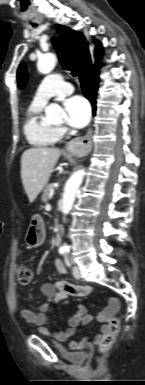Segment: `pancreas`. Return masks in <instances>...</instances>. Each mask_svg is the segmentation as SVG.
Here are the masks:
<instances>
[{
    "instance_id": "pancreas-1",
    "label": "pancreas",
    "mask_w": 145,
    "mask_h": 385,
    "mask_svg": "<svg viewBox=\"0 0 145 385\" xmlns=\"http://www.w3.org/2000/svg\"><path fill=\"white\" fill-rule=\"evenodd\" d=\"M53 189V187L51 185H48L44 191H43V195H42V202L44 203H47L49 198H50V191Z\"/></svg>"
}]
</instances>
